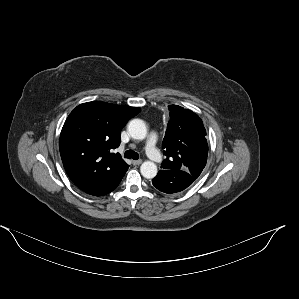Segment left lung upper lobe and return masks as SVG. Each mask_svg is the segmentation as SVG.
Segmentation results:
<instances>
[{"instance_id":"5c2ea615","label":"left lung upper lobe","mask_w":299,"mask_h":299,"mask_svg":"<svg viewBox=\"0 0 299 299\" xmlns=\"http://www.w3.org/2000/svg\"><path fill=\"white\" fill-rule=\"evenodd\" d=\"M168 108L170 120L162 144L166 159L161 168L183 170L196 180L204 169L208 156L203 122L191 110L178 105H170Z\"/></svg>"}]
</instances>
